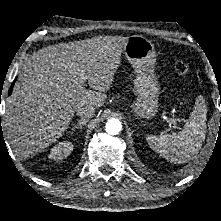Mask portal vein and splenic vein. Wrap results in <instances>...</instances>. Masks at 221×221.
I'll return each mask as SVG.
<instances>
[{"instance_id": "portal-vein-and-splenic-vein-1", "label": "portal vein and splenic vein", "mask_w": 221, "mask_h": 221, "mask_svg": "<svg viewBox=\"0 0 221 221\" xmlns=\"http://www.w3.org/2000/svg\"><path fill=\"white\" fill-rule=\"evenodd\" d=\"M168 121L173 124L174 126H176V120L175 119H172V118H169Z\"/></svg>"}]
</instances>
